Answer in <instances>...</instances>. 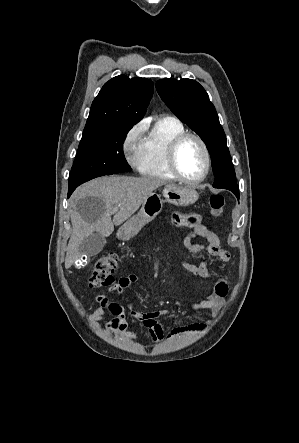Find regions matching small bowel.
Listing matches in <instances>:
<instances>
[{"label": "small bowel", "instance_id": "c3829d8e", "mask_svg": "<svg viewBox=\"0 0 299 443\" xmlns=\"http://www.w3.org/2000/svg\"><path fill=\"white\" fill-rule=\"evenodd\" d=\"M172 221L175 226L190 228L191 232L184 238L183 244L185 248L191 254H207L211 257L218 258L222 262H228L230 260V253L225 250L220 238L217 234L207 225L202 223V217L199 214H183L174 213L172 215ZM202 238L205 243L195 242L196 238ZM180 265L189 273L208 279L213 276L209 270V261L203 260L198 264L190 263L185 260H180ZM137 276L135 274H129L119 278V280L110 287L111 292L122 293L127 287L135 283ZM229 286L228 282L224 278H219L211 290V292L202 300L193 302L187 313H194L201 310H211L213 314H217L223 306L224 299L228 294ZM96 301L98 306L91 313L90 318L94 324H97L103 316L105 309H107L113 318L106 323V329L110 334L122 335L130 339H135L136 335L128 330V322L126 320L125 307L117 302L110 300L104 294H97ZM131 309V307H129ZM176 309L173 312L177 313ZM164 311L154 312H139L131 310V316L140 322H142L148 329L149 334L154 342H161L169 337L177 336L185 333L203 332L206 330L205 324H190L186 326H180L172 329L169 334H165L159 318L164 314Z\"/></svg>", "mask_w": 299, "mask_h": 443}]
</instances>
